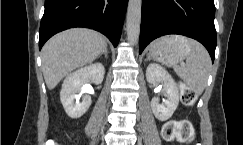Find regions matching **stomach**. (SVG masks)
Here are the masks:
<instances>
[{
    "label": "stomach",
    "instance_id": "0dacf381",
    "mask_svg": "<svg viewBox=\"0 0 243 145\" xmlns=\"http://www.w3.org/2000/svg\"><path fill=\"white\" fill-rule=\"evenodd\" d=\"M191 52L188 39L167 36L150 46L149 56L165 65L173 66L181 62Z\"/></svg>",
    "mask_w": 243,
    "mask_h": 145
}]
</instances>
